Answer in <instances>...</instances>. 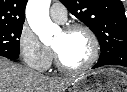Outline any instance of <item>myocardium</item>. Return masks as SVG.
I'll list each match as a JSON object with an SVG mask.
<instances>
[{
  "instance_id": "1",
  "label": "myocardium",
  "mask_w": 127,
  "mask_h": 92,
  "mask_svg": "<svg viewBox=\"0 0 127 92\" xmlns=\"http://www.w3.org/2000/svg\"><path fill=\"white\" fill-rule=\"evenodd\" d=\"M77 30L84 31L88 35L90 42H91V46H92V53L89 59L83 65L79 67H70L63 62L59 53L53 47V53H54L56 66L58 67V69L66 73L77 74V73L85 72L97 62L99 55H100L99 40L95 32L89 26L85 24H81V23H73V24H69L66 27H64L63 32L71 33Z\"/></svg>"
}]
</instances>
